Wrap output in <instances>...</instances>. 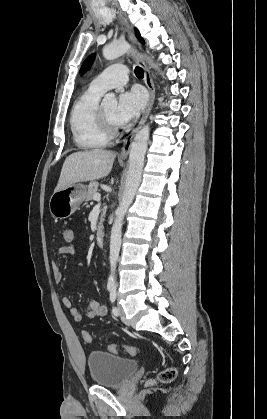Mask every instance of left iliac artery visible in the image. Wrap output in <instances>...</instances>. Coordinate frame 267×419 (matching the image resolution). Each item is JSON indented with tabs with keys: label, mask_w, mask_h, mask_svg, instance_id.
I'll return each mask as SVG.
<instances>
[{
	"label": "left iliac artery",
	"mask_w": 267,
	"mask_h": 419,
	"mask_svg": "<svg viewBox=\"0 0 267 419\" xmlns=\"http://www.w3.org/2000/svg\"><path fill=\"white\" fill-rule=\"evenodd\" d=\"M116 296H117L116 289L115 288H112L110 290V301L113 304L112 313H113L114 316H118L119 315L118 308L114 306V302L116 300Z\"/></svg>",
	"instance_id": "obj_1"
}]
</instances>
